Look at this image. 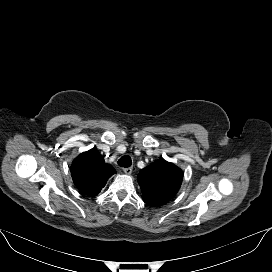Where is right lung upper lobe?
Masks as SVG:
<instances>
[{
    "label": "right lung upper lobe",
    "instance_id": "cb5924a9",
    "mask_svg": "<svg viewBox=\"0 0 272 272\" xmlns=\"http://www.w3.org/2000/svg\"><path fill=\"white\" fill-rule=\"evenodd\" d=\"M115 173V169L106 164L100 153L94 149L81 153L71 167L74 184L87 196H96Z\"/></svg>",
    "mask_w": 272,
    "mask_h": 272
}]
</instances>
